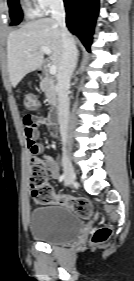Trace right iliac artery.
I'll use <instances>...</instances> for the list:
<instances>
[{
  "label": "right iliac artery",
  "mask_w": 134,
  "mask_h": 281,
  "mask_svg": "<svg viewBox=\"0 0 134 281\" xmlns=\"http://www.w3.org/2000/svg\"><path fill=\"white\" fill-rule=\"evenodd\" d=\"M64 178H65V174L63 173V174L60 176L59 181L62 182V181L64 180Z\"/></svg>",
  "instance_id": "82829eb1"
}]
</instances>
